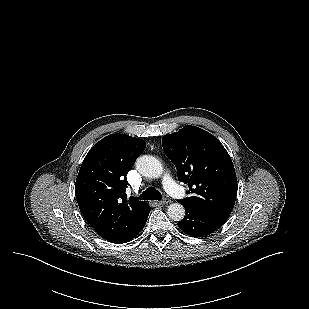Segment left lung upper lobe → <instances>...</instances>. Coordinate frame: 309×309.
Masks as SVG:
<instances>
[{
  "mask_svg": "<svg viewBox=\"0 0 309 309\" xmlns=\"http://www.w3.org/2000/svg\"><path fill=\"white\" fill-rule=\"evenodd\" d=\"M162 146L176 166L179 181L188 183L192 193L181 204L227 220L237 196V178L224 146L210 133L190 125L164 135Z\"/></svg>",
  "mask_w": 309,
  "mask_h": 309,
  "instance_id": "5c2ea615",
  "label": "left lung upper lobe"
}]
</instances>
